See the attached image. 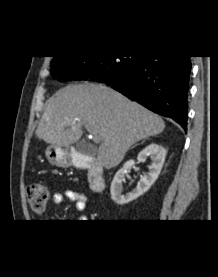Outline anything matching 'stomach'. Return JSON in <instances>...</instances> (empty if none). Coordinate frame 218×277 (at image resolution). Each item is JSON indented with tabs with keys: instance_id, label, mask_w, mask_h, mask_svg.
Returning <instances> with one entry per match:
<instances>
[{
	"instance_id": "0dacf381",
	"label": "stomach",
	"mask_w": 218,
	"mask_h": 277,
	"mask_svg": "<svg viewBox=\"0 0 218 277\" xmlns=\"http://www.w3.org/2000/svg\"><path fill=\"white\" fill-rule=\"evenodd\" d=\"M48 161L52 165L68 167L71 165V158L67 148L63 146H49L45 151Z\"/></svg>"
}]
</instances>
